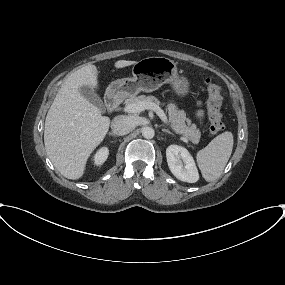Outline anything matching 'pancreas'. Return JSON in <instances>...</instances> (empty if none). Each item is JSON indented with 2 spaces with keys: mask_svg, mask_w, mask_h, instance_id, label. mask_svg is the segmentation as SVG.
I'll return each mask as SVG.
<instances>
[{
  "mask_svg": "<svg viewBox=\"0 0 285 285\" xmlns=\"http://www.w3.org/2000/svg\"><path fill=\"white\" fill-rule=\"evenodd\" d=\"M138 102L154 103L158 106L160 105V101L156 97L146 95H140L138 97L131 96L125 101L126 106ZM166 110L168 111L169 122L172 129L177 134L182 135L184 139H188L194 144H198L200 141L201 132L195 124H191L190 119L186 118L185 111L178 109L173 104H167Z\"/></svg>",
  "mask_w": 285,
  "mask_h": 285,
  "instance_id": "cf45deb5",
  "label": "pancreas"
}]
</instances>
